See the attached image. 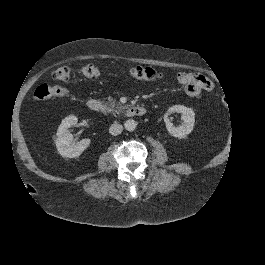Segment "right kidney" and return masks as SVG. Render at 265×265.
Wrapping results in <instances>:
<instances>
[{"mask_svg":"<svg viewBox=\"0 0 265 265\" xmlns=\"http://www.w3.org/2000/svg\"><path fill=\"white\" fill-rule=\"evenodd\" d=\"M77 122L78 118L76 116L69 115L62 120L58 127L56 147L59 154L63 157H79L90 144V139H82L77 143L73 142V135L70 133L69 128L77 124Z\"/></svg>","mask_w":265,"mask_h":265,"instance_id":"ca27d5eb","label":"right kidney"}]
</instances>
